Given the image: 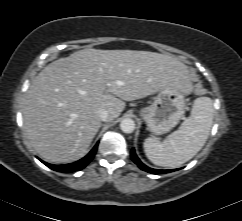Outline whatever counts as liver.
Wrapping results in <instances>:
<instances>
[{"instance_id":"1","label":"liver","mask_w":242,"mask_h":221,"mask_svg":"<svg viewBox=\"0 0 242 221\" xmlns=\"http://www.w3.org/2000/svg\"><path fill=\"white\" fill-rule=\"evenodd\" d=\"M188 92V66L169 54L136 50L83 49L48 64L31 82L23 127L36 153L50 163L82 158L101 127L133 101L163 88Z\"/></svg>"}]
</instances>
